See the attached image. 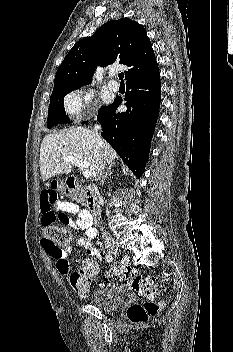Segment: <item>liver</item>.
Instances as JSON below:
<instances>
[{
	"label": "liver",
	"instance_id": "obj_1",
	"mask_svg": "<svg viewBox=\"0 0 233 352\" xmlns=\"http://www.w3.org/2000/svg\"><path fill=\"white\" fill-rule=\"evenodd\" d=\"M65 156H73L88 163L92 179L97 177L101 159L108 165L117 157L114 149L105 141L100 144L93 131L85 127H72L60 133L44 137L40 148V172L43 181L59 174H68L73 164L64 161Z\"/></svg>",
	"mask_w": 233,
	"mask_h": 352
}]
</instances>
